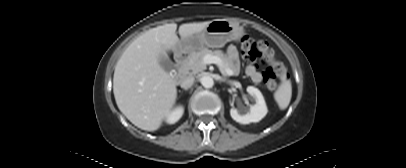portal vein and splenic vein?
<instances>
[{
    "instance_id": "18ae733b",
    "label": "portal vein and splenic vein",
    "mask_w": 406,
    "mask_h": 168,
    "mask_svg": "<svg viewBox=\"0 0 406 168\" xmlns=\"http://www.w3.org/2000/svg\"><path fill=\"white\" fill-rule=\"evenodd\" d=\"M203 62L204 64H216L218 65L220 71L222 74L227 75V76H232L233 75V71L229 68H224L222 65V61L220 58H218L217 56H212V55H206L203 58Z\"/></svg>"
}]
</instances>
